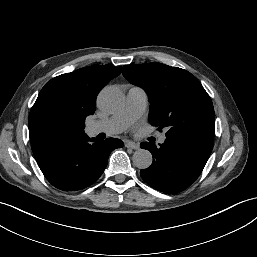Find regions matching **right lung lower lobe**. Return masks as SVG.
I'll list each match as a JSON object with an SVG mask.
<instances>
[{"label":"right lung lower lobe","mask_w":257,"mask_h":257,"mask_svg":"<svg viewBox=\"0 0 257 257\" xmlns=\"http://www.w3.org/2000/svg\"><path fill=\"white\" fill-rule=\"evenodd\" d=\"M117 138L98 140L81 137L61 139L43 151L34 153L36 162L46 179L64 191L84 189L102 175L109 154L121 148Z\"/></svg>","instance_id":"1"}]
</instances>
